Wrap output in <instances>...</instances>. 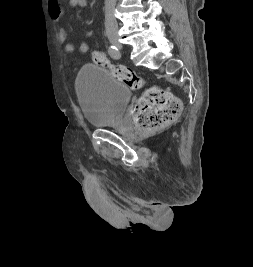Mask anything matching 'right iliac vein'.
I'll return each instance as SVG.
<instances>
[{
    "label": "right iliac vein",
    "mask_w": 253,
    "mask_h": 267,
    "mask_svg": "<svg viewBox=\"0 0 253 267\" xmlns=\"http://www.w3.org/2000/svg\"><path fill=\"white\" fill-rule=\"evenodd\" d=\"M109 40H110V42H111L113 45H115V46H117V47L120 46L117 37H115L114 35L111 36V37H109Z\"/></svg>",
    "instance_id": "right-iliac-vein-1"
}]
</instances>
